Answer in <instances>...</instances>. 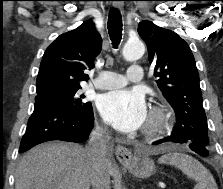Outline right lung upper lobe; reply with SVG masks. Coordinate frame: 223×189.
Listing matches in <instances>:
<instances>
[{"instance_id": "obj_1", "label": "right lung upper lobe", "mask_w": 223, "mask_h": 189, "mask_svg": "<svg viewBox=\"0 0 223 189\" xmlns=\"http://www.w3.org/2000/svg\"><path fill=\"white\" fill-rule=\"evenodd\" d=\"M101 37L91 20L61 34L46 49L36 80V92L55 88L81 87L86 70L94 66L101 50Z\"/></svg>"}]
</instances>
